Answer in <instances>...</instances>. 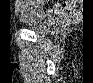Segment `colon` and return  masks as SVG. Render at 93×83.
<instances>
[{"instance_id": "5ec220e1", "label": "colon", "mask_w": 93, "mask_h": 83, "mask_svg": "<svg viewBox=\"0 0 93 83\" xmlns=\"http://www.w3.org/2000/svg\"><path fill=\"white\" fill-rule=\"evenodd\" d=\"M22 6L28 3L37 4L38 1H21ZM50 3H54L56 6L55 8L46 9V8H40L35 7L31 10L22 9V11L26 14H32V20L40 19L44 15H58L62 14L67 10V6L71 5L72 1H50ZM44 18V17H43Z\"/></svg>"}]
</instances>
